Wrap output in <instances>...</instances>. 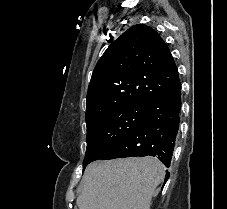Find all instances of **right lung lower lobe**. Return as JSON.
Wrapping results in <instances>:
<instances>
[{
    "label": "right lung lower lobe",
    "instance_id": "1",
    "mask_svg": "<svg viewBox=\"0 0 227 209\" xmlns=\"http://www.w3.org/2000/svg\"><path fill=\"white\" fill-rule=\"evenodd\" d=\"M164 71L172 81V86L146 103L147 107L139 124L101 160L154 156L167 167L170 166L179 128L181 84L175 63ZM168 178L167 171L165 179Z\"/></svg>",
    "mask_w": 227,
    "mask_h": 209
}]
</instances>
